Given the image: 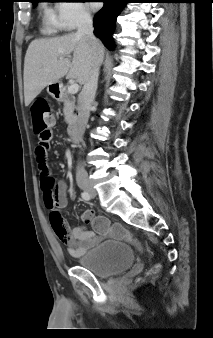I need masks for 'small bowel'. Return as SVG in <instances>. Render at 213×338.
<instances>
[{
  "mask_svg": "<svg viewBox=\"0 0 213 338\" xmlns=\"http://www.w3.org/2000/svg\"><path fill=\"white\" fill-rule=\"evenodd\" d=\"M50 140L51 138H47L44 141H39V144L35 149V157L37 161H47L50 152ZM55 197L57 201V209L61 210L65 208L68 203V199L67 187L64 182L58 183L55 190ZM80 217L81 220L87 224L92 221L94 215L91 210L87 209L82 211ZM97 218L100 220V223L99 226H95V232L88 230L86 225H82L70 230L68 224L65 221H63L61 226L53 229L55 230V233L59 239L68 245V249L71 254L80 255L90 250L106 237L107 228L109 226L108 222L103 216H98ZM116 234L121 238H130L129 231L123 227H118L116 229Z\"/></svg>",
  "mask_w": 213,
  "mask_h": 338,
  "instance_id": "1",
  "label": "small bowel"
}]
</instances>
